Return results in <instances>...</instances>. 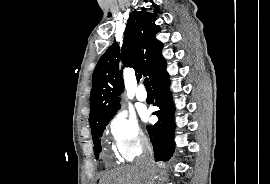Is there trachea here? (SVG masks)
<instances>
[{
  "instance_id": "3493384b",
  "label": "trachea",
  "mask_w": 270,
  "mask_h": 184,
  "mask_svg": "<svg viewBox=\"0 0 270 184\" xmlns=\"http://www.w3.org/2000/svg\"><path fill=\"white\" fill-rule=\"evenodd\" d=\"M144 85H145L147 91H151V86H150V82H149V79L148 78H146L144 80Z\"/></svg>"
}]
</instances>
